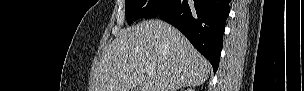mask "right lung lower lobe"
I'll return each mask as SVG.
<instances>
[{
  "label": "right lung lower lobe",
  "instance_id": "98d812e1",
  "mask_svg": "<svg viewBox=\"0 0 304 91\" xmlns=\"http://www.w3.org/2000/svg\"><path fill=\"white\" fill-rule=\"evenodd\" d=\"M229 11V0H170L157 17L180 30L210 61L215 73Z\"/></svg>",
  "mask_w": 304,
  "mask_h": 91
}]
</instances>
